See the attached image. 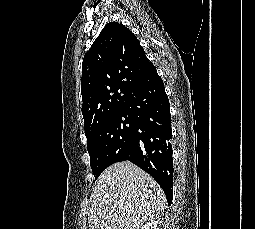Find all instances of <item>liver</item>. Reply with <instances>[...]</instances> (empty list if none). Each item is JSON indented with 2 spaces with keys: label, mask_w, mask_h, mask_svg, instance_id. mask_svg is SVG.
Segmentation results:
<instances>
[{
  "label": "liver",
  "mask_w": 255,
  "mask_h": 229,
  "mask_svg": "<svg viewBox=\"0 0 255 229\" xmlns=\"http://www.w3.org/2000/svg\"><path fill=\"white\" fill-rule=\"evenodd\" d=\"M91 199L90 229H139L166 204L159 184L129 161L109 166L96 181Z\"/></svg>",
  "instance_id": "6515ba94"
}]
</instances>
